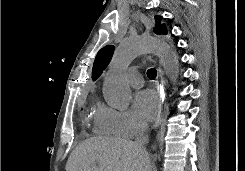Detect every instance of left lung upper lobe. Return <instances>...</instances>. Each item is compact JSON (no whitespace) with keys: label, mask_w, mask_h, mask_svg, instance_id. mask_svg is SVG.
Masks as SVG:
<instances>
[{"label":"left lung upper lobe","mask_w":245,"mask_h":171,"mask_svg":"<svg viewBox=\"0 0 245 171\" xmlns=\"http://www.w3.org/2000/svg\"><path fill=\"white\" fill-rule=\"evenodd\" d=\"M156 26L154 28V33L156 34H167V28L165 24H162V17L159 15L155 16ZM115 47L113 45H107L103 47L96 55L93 70L92 79L95 81L100 77L103 70L107 67L111 58L113 56Z\"/></svg>","instance_id":"5c2ea615"}]
</instances>
